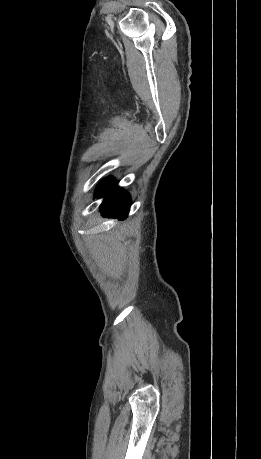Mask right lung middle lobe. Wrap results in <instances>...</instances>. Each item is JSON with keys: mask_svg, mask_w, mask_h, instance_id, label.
Returning <instances> with one entry per match:
<instances>
[{"mask_svg": "<svg viewBox=\"0 0 261 459\" xmlns=\"http://www.w3.org/2000/svg\"><path fill=\"white\" fill-rule=\"evenodd\" d=\"M108 180H109V179L104 180L102 183H100V185L98 186V189H99L106 181H108Z\"/></svg>", "mask_w": 261, "mask_h": 459, "instance_id": "right-lung-middle-lobe-1", "label": "right lung middle lobe"}]
</instances>
